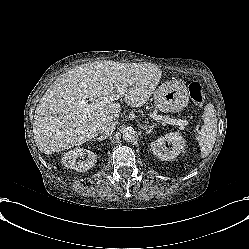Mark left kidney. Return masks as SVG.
<instances>
[{"label": "left kidney", "instance_id": "obj_1", "mask_svg": "<svg viewBox=\"0 0 249 249\" xmlns=\"http://www.w3.org/2000/svg\"><path fill=\"white\" fill-rule=\"evenodd\" d=\"M185 141L178 132H171L151 143L154 155L162 161H171L184 152Z\"/></svg>", "mask_w": 249, "mask_h": 249}]
</instances>
